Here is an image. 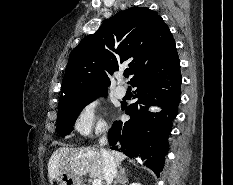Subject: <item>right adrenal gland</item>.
Masks as SVG:
<instances>
[{"mask_svg": "<svg viewBox=\"0 0 233 185\" xmlns=\"http://www.w3.org/2000/svg\"><path fill=\"white\" fill-rule=\"evenodd\" d=\"M128 181L125 175V168L119 167V172L116 176V180L114 181L113 185H117L118 183H121L125 185V183Z\"/></svg>", "mask_w": 233, "mask_h": 185, "instance_id": "2a0ac1e0", "label": "right adrenal gland"}]
</instances>
